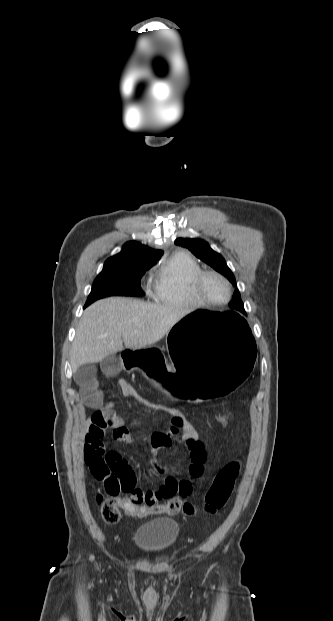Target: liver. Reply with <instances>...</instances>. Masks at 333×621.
<instances>
[{
	"label": "liver",
	"mask_w": 333,
	"mask_h": 621,
	"mask_svg": "<svg viewBox=\"0 0 333 621\" xmlns=\"http://www.w3.org/2000/svg\"><path fill=\"white\" fill-rule=\"evenodd\" d=\"M186 310L150 304L142 300L110 297L85 309L76 329L70 364L102 361L126 348L141 349L155 344L185 315Z\"/></svg>",
	"instance_id": "liver-1"
}]
</instances>
